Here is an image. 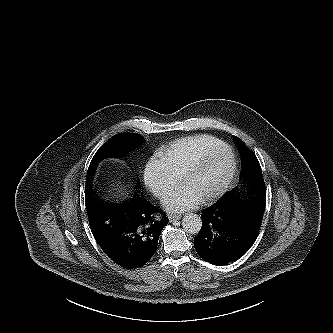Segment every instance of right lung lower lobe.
I'll use <instances>...</instances> for the list:
<instances>
[{"mask_svg":"<svg viewBox=\"0 0 333 333\" xmlns=\"http://www.w3.org/2000/svg\"><path fill=\"white\" fill-rule=\"evenodd\" d=\"M85 204L92 234L112 261L133 269L142 267L152 258L159 235L168 223L167 217L153 220L159 208L138 194L119 203L104 202L87 186Z\"/></svg>","mask_w":333,"mask_h":333,"instance_id":"obj_1","label":"right lung lower lobe"}]
</instances>
